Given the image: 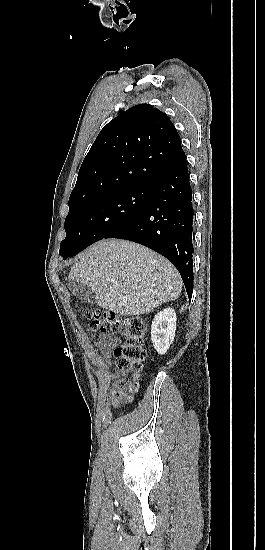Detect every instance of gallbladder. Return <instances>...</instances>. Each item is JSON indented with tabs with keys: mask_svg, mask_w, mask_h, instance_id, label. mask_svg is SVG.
<instances>
[{
	"mask_svg": "<svg viewBox=\"0 0 265 550\" xmlns=\"http://www.w3.org/2000/svg\"><path fill=\"white\" fill-rule=\"evenodd\" d=\"M69 288L79 300L85 303H91L94 300V293L90 286L83 283H75L70 281Z\"/></svg>",
	"mask_w": 265,
	"mask_h": 550,
	"instance_id": "gallbladder-1",
	"label": "gallbladder"
}]
</instances>
